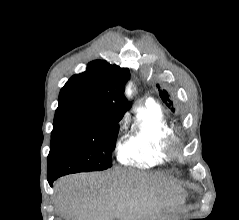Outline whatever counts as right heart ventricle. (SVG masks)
<instances>
[{"mask_svg": "<svg viewBox=\"0 0 239 220\" xmlns=\"http://www.w3.org/2000/svg\"><path fill=\"white\" fill-rule=\"evenodd\" d=\"M171 133L160 106L147 102L138 110L117 149L118 161L138 168L163 164L167 158L165 140Z\"/></svg>", "mask_w": 239, "mask_h": 220, "instance_id": "e07e8e85", "label": "right heart ventricle"}]
</instances>
